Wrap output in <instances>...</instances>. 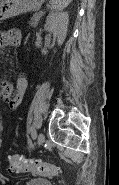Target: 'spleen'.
Instances as JSON below:
<instances>
[{
    "label": "spleen",
    "mask_w": 119,
    "mask_h": 185,
    "mask_svg": "<svg viewBox=\"0 0 119 185\" xmlns=\"http://www.w3.org/2000/svg\"><path fill=\"white\" fill-rule=\"evenodd\" d=\"M72 0H50V9L54 11H61L65 9Z\"/></svg>",
    "instance_id": "1"
}]
</instances>
